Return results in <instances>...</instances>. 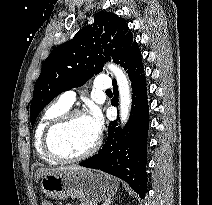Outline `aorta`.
I'll return each instance as SVG.
<instances>
[{"label":"aorta","mask_w":212,"mask_h":205,"mask_svg":"<svg viewBox=\"0 0 212 205\" xmlns=\"http://www.w3.org/2000/svg\"><path fill=\"white\" fill-rule=\"evenodd\" d=\"M107 68L111 71L117 80L119 90L120 120L124 125L129 118L132 103L129 80L124 71L119 66L115 64H108Z\"/></svg>","instance_id":"aorta-1"}]
</instances>
